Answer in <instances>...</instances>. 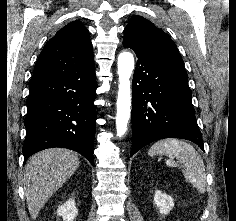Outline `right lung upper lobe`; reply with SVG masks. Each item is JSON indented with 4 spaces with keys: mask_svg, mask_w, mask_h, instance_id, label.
<instances>
[{
    "mask_svg": "<svg viewBox=\"0 0 236 221\" xmlns=\"http://www.w3.org/2000/svg\"><path fill=\"white\" fill-rule=\"evenodd\" d=\"M94 68L88 30L75 20L60 29L39 55L31 82Z\"/></svg>",
    "mask_w": 236,
    "mask_h": 221,
    "instance_id": "obj_1",
    "label": "right lung upper lobe"
}]
</instances>
